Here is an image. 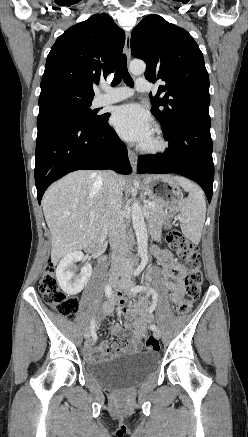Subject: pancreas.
Returning a JSON list of instances; mask_svg holds the SVG:
<instances>
[{"mask_svg":"<svg viewBox=\"0 0 248 437\" xmlns=\"http://www.w3.org/2000/svg\"><path fill=\"white\" fill-rule=\"evenodd\" d=\"M154 207H148L147 210L150 215V224L153 228L154 234L160 232L163 224L168 220V212L162 205L157 202H154Z\"/></svg>","mask_w":248,"mask_h":437,"instance_id":"obj_1","label":"pancreas"}]
</instances>
